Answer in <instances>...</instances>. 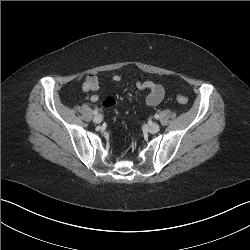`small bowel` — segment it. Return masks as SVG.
<instances>
[{
    "mask_svg": "<svg viewBox=\"0 0 250 250\" xmlns=\"http://www.w3.org/2000/svg\"><path fill=\"white\" fill-rule=\"evenodd\" d=\"M122 80L123 77L120 75H114L112 77V81L115 83H119ZM134 83L139 89L148 90V95L145 100L146 105L156 106L162 101L165 93L162 85L150 80L139 79H134ZM82 89L84 91L91 92L90 100L92 102L98 101L99 82L98 78L95 75H88L86 77L84 83L82 84Z\"/></svg>",
    "mask_w": 250,
    "mask_h": 250,
    "instance_id": "small-bowel-1",
    "label": "small bowel"
}]
</instances>
